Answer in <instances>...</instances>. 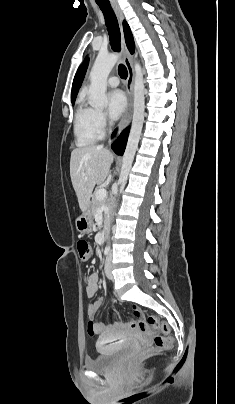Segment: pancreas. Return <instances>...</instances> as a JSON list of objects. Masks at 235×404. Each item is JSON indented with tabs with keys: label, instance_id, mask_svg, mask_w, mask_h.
Returning <instances> with one entry per match:
<instances>
[{
	"label": "pancreas",
	"instance_id": "1",
	"mask_svg": "<svg viewBox=\"0 0 235 404\" xmlns=\"http://www.w3.org/2000/svg\"><path fill=\"white\" fill-rule=\"evenodd\" d=\"M107 206H108V201L106 199L98 200L96 197V192H95V194L93 195V198H92V203H91L92 215H95L99 209H103V212H104L103 216L106 219L108 217V213L105 211Z\"/></svg>",
	"mask_w": 235,
	"mask_h": 404
}]
</instances>
